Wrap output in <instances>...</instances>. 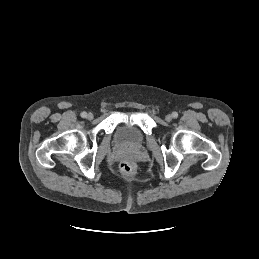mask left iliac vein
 Masks as SVG:
<instances>
[{
	"label": "left iliac vein",
	"instance_id": "4c4485c4",
	"mask_svg": "<svg viewBox=\"0 0 259 259\" xmlns=\"http://www.w3.org/2000/svg\"><path fill=\"white\" fill-rule=\"evenodd\" d=\"M172 118H173L172 115L168 114V115H166L165 120L167 122H170L172 120Z\"/></svg>",
	"mask_w": 259,
	"mask_h": 259
}]
</instances>
